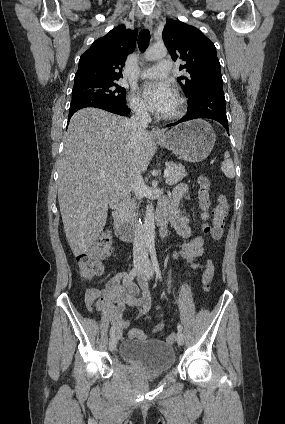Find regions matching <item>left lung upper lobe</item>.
<instances>
[{
  "instance_id": "left-lung-upper-lobe-1",
  "label": "left lung upper lobe",
  "mask_w": 285,
  "mask_h": 424,
  "mask_svg": "<svg viewBox=\"0 0 285 424\" xmlns=\"http://www.w3.org/2000/svg\"><path fill=\"white\" fill-rule=\"evenodd\" d=\"M162 36L172 59L185 61L180 70L186 69L188 74L178 77L177 81L189 100L206 88L223 87L216 48L201 31L170 19Z\"/></svg>"
}]
</instances>
